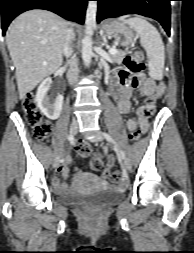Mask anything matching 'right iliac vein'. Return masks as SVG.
<instances>
[{"label": "right iliac vein", "mask_w": 194, "mask_h": 253, "mask_svg": "<svg viewBox=\"0 0 194 253\" xmlns=\"http://www.w3.org/2000/svg\"><path fill=\"white\" fill-rule=\"evenodd\" d=\"M78 130V122L76 120H73L70 124L69 132L71 135H75ZM60 164V157H56L53 162V167L57 168Z\"/></svg>", "instance_id": "63e3f726"}]
</instances>
